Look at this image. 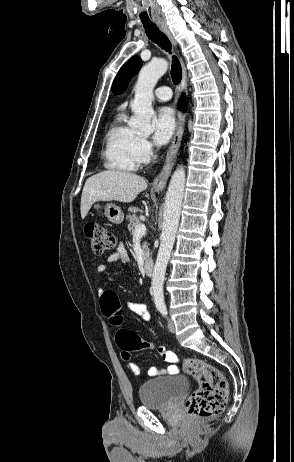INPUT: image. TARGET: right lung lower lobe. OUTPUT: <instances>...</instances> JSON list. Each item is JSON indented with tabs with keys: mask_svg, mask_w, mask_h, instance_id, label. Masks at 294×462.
<instances>
[{
	"mask_svg": "<svg viewBox=\"0 0 294 462\" xmlns=\"http://www.w3.org/2000/svg\"><path fill=\"white\" fill-rule=\"evenodd\" d=\"M187 106V100L185 97H182L180 100H179V108L180 109H185Z\"/></svg>",
	"mask_w": 294,
	"mask_h": 462,
	"instance_id": "1",
	"label": "right lung lower lobe"
}]
</instances>
